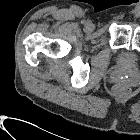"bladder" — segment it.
I'll return each instance as SVG.
<instances>
[{
	"label": "bladder",
	"mask_w": 140,
	"mask_h": 140,
	"mask_svg": "<svg viewBox=\"0 0 140 140\" xmlns=\"http://www.w3.org/2000/svg\"><path fill=\"white\" fill-rule=\"evenodd\" d=\"M139 54L132 50H121L118 54V63L125 68L135 67L139 61Z\"/></svg>",
	"instance_id": "obj_1"
}]
</instances>
